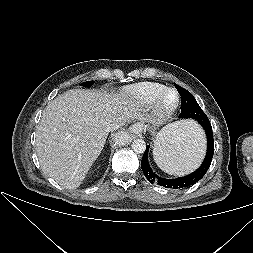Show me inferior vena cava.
Wrapping results in <instances>:
<instances>
[{
	"instance_id": "inferior-vena-cava-1",
	"label": "inferior vena cava",
	"mask_w": 253,
	"mask_h": 253,
	"mask_svg": "<svg viewBox=\"0 0 253 253\" xmlns=\"http://www.w3.org/2000/svg\"><path fill=\"white\" fill-rule=\"evenodd\" d=\"M118 127H119L118 125H113V126L108 127L107 130L108 131H113V130L118 129Z\"/></svg>"
}]
</instances>
